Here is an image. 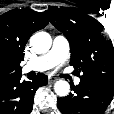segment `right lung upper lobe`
I'll use <instances>...</instances> for the list:
<instances>
[{
    "instance_id": "cb5924a9",
    "label": "right lung upper lobe",
    "mask_w": 114,
    "mask_h": 114,
    "mask_svg": "<svg viewBox=\"0 0 114 114\" xmlns=\"http://www.w3.org/2000/svg\"><path fill=\"white\" fill-rule=\"evenodd\" d=\"M48 24L44 13L14 9L0 16V72L21 73L20 62L30 36Z\"/></svg>"
}]
</instances>
